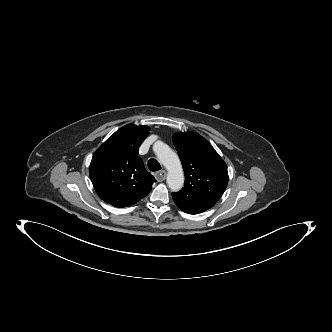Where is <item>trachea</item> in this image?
I'll return each instance as SVG.
<instances>
[{
	"mask_svg": "<svg viewBox=\"0 0 332 332\" xmlns=\"http://www.w3.org/2000/svg\"><path fill=\"white\" fill-rule=\"evenodd\" d=\"M148 168L149 170L155 172L161 170V165L156 159L151 158L148 160Z\"/></svg>",
	"mask_w": 332,
	"mask_h": 332,
	"instance_id": "3493384b",
	"label": "trachea"
}]
</instances>
